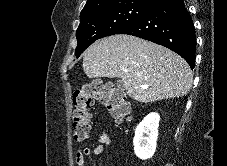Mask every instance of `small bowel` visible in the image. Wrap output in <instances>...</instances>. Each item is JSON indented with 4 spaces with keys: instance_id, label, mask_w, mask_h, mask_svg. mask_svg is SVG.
Segmentation results:
<instances>
[{
    "instance_id": "1",
    "label": "small bowel",
    "mask_w": 227,
    "mask_h": 166,
    "mask_svg": "<svg viewBox=\"0 0 227 166\" xmlns=\"http://www.w3.org/2000/svg\"><path fill=\"white\" fill-rule=\"evenodd\" d=\"M99 144L93 149L83 148L77 152L76 161L78 166H86V158L90 154L99 155L103 152L104 147H108L112 144L111 138L106 133H99Z\"/></svg>"
}]
</instances>
